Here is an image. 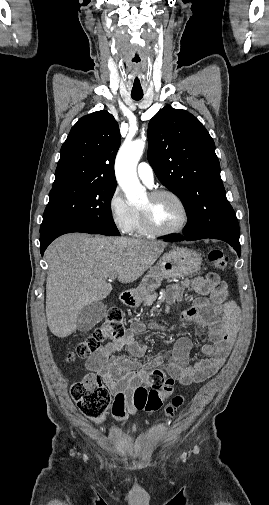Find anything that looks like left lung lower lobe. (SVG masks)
I'll use <instances>...</instances> for the list:
<instances>
[{
	"mask_svg": "<svg viewBox=\"0 0 269 505\" xmlns=\"http://www.w3.org/2000/svg\"><path fill=\"white\" fill-rule=\"evenodd\" d=\"M239 237L240 235L234 234V233H227V232H220V233H213L209 235H204V236H198V237H191V236H185V235H176L173 237H169L164 239L165 241H182V240H198V239H204V238H213V239H219L227 242L230 244L237 252L238 256L240 257L241 254V246L239 243Z\"/></svg>",
	"mask_w": 269,
	"mask_h": 505,
	"instance_id": "1",
	"label": "left lung lower lobe"
}]
</instances>
